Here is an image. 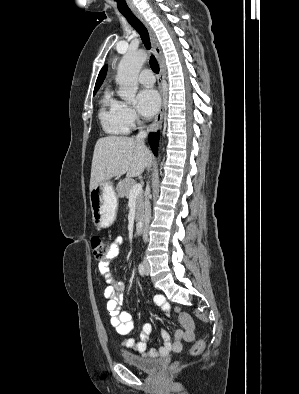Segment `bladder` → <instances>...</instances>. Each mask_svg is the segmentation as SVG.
Listing matches in <instances>:
<instances>
[{
  "label": "bladder",
  "mask_w": 299,
  "mask_h": 394,
  "mask_svg": "<svg viewBox=\"0 0 299 394\" xmlns=\"http://www.w3.org/2000/svg\"><path fill=\"white\" fill-rule=\"evenodd\" d=\"M121 359L128 366L141 372H152L161 365L159 359H148L131 352H122Z\"/></svg>",
  "instance_id": "obj_1"
}]
</instances>
